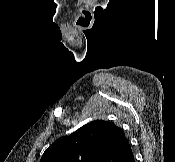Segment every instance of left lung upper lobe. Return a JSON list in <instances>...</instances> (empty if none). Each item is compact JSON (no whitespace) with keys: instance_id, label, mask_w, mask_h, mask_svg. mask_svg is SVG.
<instances>
[{"instance_id":"1","label":"left lung upper lobe","mask_w":175,"mask_h":162,"mask_svg":"<svg viewBox=\"0 0 175 162\" xmlns=\"http://www.w3.org/2000/svg\"><path fill=\"white\" fill-rule=\"evenodd\" d=\"M125 139L118 126L94 120L54 141L40 162H106L115 147Z\"/></svg>"}]
</instances>
